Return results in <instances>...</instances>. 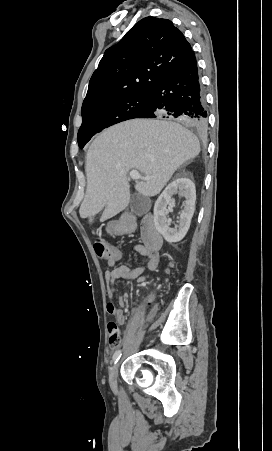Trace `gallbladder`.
<instances>
[{
    "label": "gallbladder",
    "mask_w": 272,
    "mask_h": 451,
    "mask_svg": "<svg viewBox=\"0 0 272 451\" xmlns=\"http://www.w3.org/2000/svg\"><path fill=\"white\" fill-rule=\"evenodd\" d=\"M130 210L136 216H143L148 212V204L144 202L143 198H141L140 194H134L130 200Z\"/></svg>",
    "instance_id": "gallbladder-1"
}]
</instances>
